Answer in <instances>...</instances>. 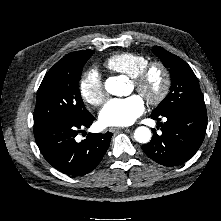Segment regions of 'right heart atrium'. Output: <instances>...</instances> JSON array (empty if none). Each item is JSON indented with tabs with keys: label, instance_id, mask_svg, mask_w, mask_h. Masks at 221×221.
<instances>
[{
	"label": "right heart atrium",
	"instance_id": "1",
	"mask_svg": "<svg viewBox=\"0 0 221 221\" xmlns=\"http://www.w3.org/2000/svg\"><path fill=\"white\" fill-rule=\"evenodd\" d=\"M79 92L82 99L91 106H99L106 97V90L99 72L87 70L80 79Z\"/></svg>",
	"mask_w": 221,
	"mask_h": 221
}]
</instances>
